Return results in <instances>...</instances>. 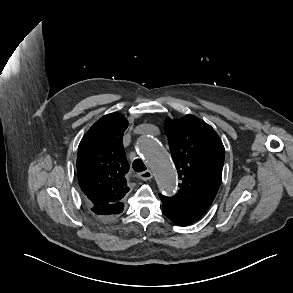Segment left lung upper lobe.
<instances>
[{
  "instance_id": "obj_1",
  "label": "left lung upper lobe",
  "mask_w": 293,
  "mask_h": 293,
  "mask_svg": "<svg viewBox=\"0 0 293 293\" xmlns=\"http://www.w3.org/2000/svg\"><path fill=\"white\" fill-rule=\"evenodd\" d=\"M165 132L178 171L180 190L173 198L205 213L212 204L222 178L225 149L214 129L186 115L167 119Z\"/></svg>"
}]
</instances>
